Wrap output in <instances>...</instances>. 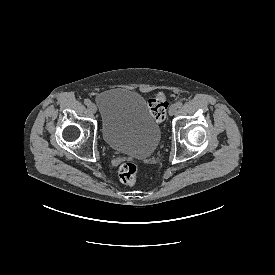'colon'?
<instances>
[{
	"mask_svg": "<svg viewBox=\"0 0 275 275\" xmlns=\"http://www.w3.org/2000/svg\"><path fill=\"white\" fill-rule=\"evenodd\" d=\"M148 108L157 122H162L166 117L168 102L166 97L160 93L149 100ZM121 182L127 185H134L139 176V167L134 162L123 163L119 168Z\"/></svg>",
	"mask_w": 275,
	"mask_h": 275,
	"instance_id": "1",
	"label": "colon"
}]
</instances>
